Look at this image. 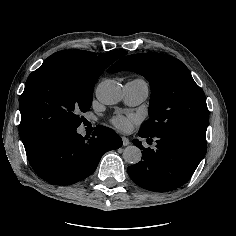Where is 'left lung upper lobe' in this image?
<instances>
[{
  "label": "left lung upper lobe",
  "instance_id": "1",
  "mask_svg": "<svg viewBox=\"0 0 236 236\" xmlns=\"http://www.w3.org/2000/svg\"><path fill=\"white\" fill-rule=\"evenodd\" d=\"M133 71L150 83V118L139 133L153 137L173 132L206 140L209 112L203 90L196 84L187 67L178 59L160 53L126 56L107 71Z\"/></svg>",
  "mask_w": 236,
  "mask_h": 236
}]
</instances>
